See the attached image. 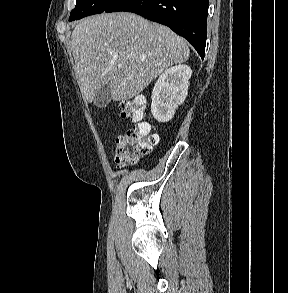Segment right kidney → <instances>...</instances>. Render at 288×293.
<instances>
[{"label":"right kidney","mask_w":288,"mask_h":293,"mask_svg":"<svg viewBox=\"0 0 288 293\" xmlns=\"http://www.w3.org/2000/svg\"><path fill=\"white\" fill-rule=\"evenodd\" d=\"M191 74L189 66L177 65L159 76L151 96V112L157 121L172 119L177 107L186 99Z\"/></svg>","instance_id":"ca27d5eb"}]
</instances>
